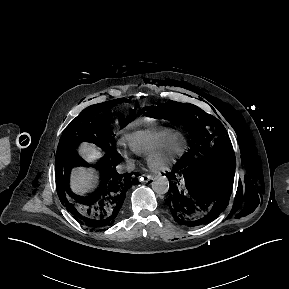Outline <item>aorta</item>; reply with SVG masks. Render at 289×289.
Returning a JSON list of instances; mask_svg holds the SVG:
<instances>
[{
    "label": "aorta",
    "instance_id": "aorta-1",
    "mask_svg": "<svg viewBox=\"0 0 289 289\" xmlns=\"http://www.w3.org/2000/svg\"><path fill=\"white\" fill-rule=\"evenodd\" d=\"M151 186L155 193L159 195L166 194L169 190V181L165 176H158L154 178Z\"/></svg>",
    "mask_w": 289,
    "mask_h": 289
}]
</instances>
